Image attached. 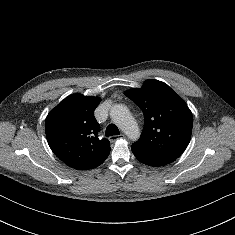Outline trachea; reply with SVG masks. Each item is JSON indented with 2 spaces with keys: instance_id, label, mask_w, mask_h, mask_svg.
I'll use <instances>...</instances> for the list:
<instances>
[{
  "instance_id": "3493384b",
  "label": "trachea",
  "mask_w": 235,
  "mask_h": 235,
  "mask_svg": "<svg viewBox=\"0 0 235 235\" xmlns=\"http://www.w3.org/2000/svg\"><path fill=\"white\" fill-rule=\"evenodd\" d=\"M106 136H114L119 135V129L115 124H109L106 128Z\"/></svg>"
}]
</instances>
